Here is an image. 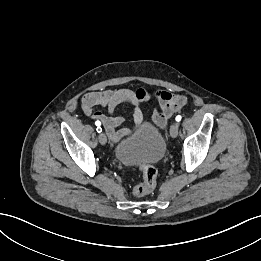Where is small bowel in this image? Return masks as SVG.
I'll use <instances>...</instances> for the list:
<instances>
[{
	"mask_svg": "<svg viewBox=\"0 0 261 261\" xmlns=\"http://www.w3.org/2000/svg\"><path fill=\"white\" fill-rule=\"evenodd\" d=\"M156 99L158 106L152 107L154 124L163 129L167 121L186 104L185 96L167 90L150 92L140 88L131 90L127 88L107 89L87 93L81 100L83 113L93 120L100 121L109 137L117 140L128 133L127 129H119L124 122V117L114 115L118 106H126L132 110L134 126H139L143 121L142 105ZM103 107L107 113L97 110Z\"/></svg>",
	"mask_w": 261,
	"mask_h": 261,
	"instance_id": "c3829d8e",
	"label": "small bowel"
}]
</instances>
